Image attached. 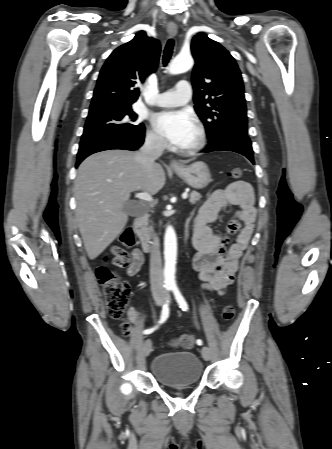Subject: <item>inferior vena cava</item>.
I'll return each mask as SVG.
<instances>
[{
	"mask_svg": "<svg viewBox=\"0 0 332 449\" xmlns=\"http://www.w3.org/2000/svg\"><path fill=\"white\" fill-rule=\"evenodd\" d=\"M166 146V141L163 137L152 136L145 140L144 145L136 153L135 159L146 168H150L155 164ZM153 242L150 254V283L151 291L154 296L165 293L163 288V274H162V260L160 253L159 239L156 234L152 236Z\"/></svg>",
	"mask_w": 332,
	"mask_h": 449,
	"instance_id": "602c4592",
	"label": "inferior vena cava"
}]
</instances>
